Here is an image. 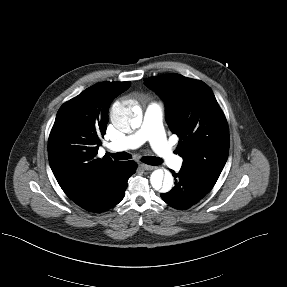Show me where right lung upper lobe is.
Listing matches in <instances>:
<instances>
[{"mask_svg": "<svg viewBox=\"0 0 287 287\" xmlns=\"http://www.w3.org/2000/svg\"><path fill=\"white\" fill-rule=\"evenodd\" d=\"M130 85L97 83L65 102L57 113L48 141L49 163L60 187L76 204L122 163L96 155L100 137L106 134L109 106Z\"/></svg>", "mask_w": 287, "mask_h": 287, "instance_id": "1", "label": "right lung upper lobe"}]
</instances>
